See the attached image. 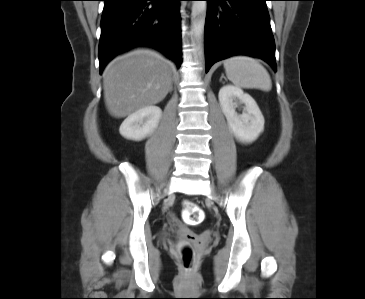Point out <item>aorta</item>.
Wrapping results in <instances>:
<instances>
[{"label":"aorta","instance_id":"aorta-1","mask_svg":"<svg viewBox=\"0 0 365 299\" xmlns=\"http://www.w3.org/2000/svg\"><path fill=\"white\" fill-rule=\"evenodd\" d=\"M206 1H193L191 13V32L196 43L199 57L202 59V39L206 18Z\"/></svg>","mask_w":365,"mask_h":299}]
</instances>
